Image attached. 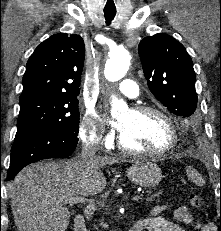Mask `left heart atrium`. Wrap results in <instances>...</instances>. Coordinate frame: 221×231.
<instances>
[{
  "mask_svg": "<svg viewBox=\"0 0 221 231\" xmlns=\"http://www.w3.org/2000/svg\"><path fill=\"white\" fill-rule=\"evenodd\" d=\"M115 125H116V127H117L119 130H121L122 125H121L120 122H117Z\"/></svg>",
  "mask_w": 221,
  "mask_h": 231,
  "instance_id": "1",
  "label": "left heart atrium"
}]
</instances>
